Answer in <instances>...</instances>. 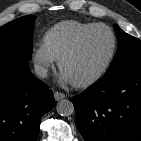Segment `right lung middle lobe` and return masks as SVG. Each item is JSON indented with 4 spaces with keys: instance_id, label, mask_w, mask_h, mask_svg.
Returning <instances> with one entry per match:
<instances>
[{
    "instance_id": "obj_1",
    "label": "right lung middle lobe",
    "mask_w": 141,
    "mask_h": 141,
    "mask_svg": "<svg viewBox=\"0 0 141 141\" xmlns=\"http://www.w3.org/2000/svg\"><path fill=\"white\" fill-rule=\"evenodd\" d=\"M35 18L23 16L0 27V63L30 60Z\"/></svg>"
}]
</instances>
